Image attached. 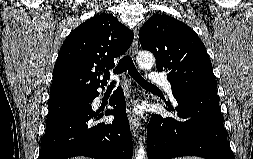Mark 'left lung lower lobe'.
<instances>
[{"instance_id": "1", "label": "left lung lower lobe", "mask_w": 253, "mask_h": 159, "mask_svg": "<svg viewBox=\"0 0 253 159\" xmlns=\"http://www.w3.org/2000/svg\"><path fill=\"white\" fill-rule=\"evenodd\" d=\"M173 95L181 119L152 116L147 128L148 159L180 156L235 159L227 141L217 94L180 92Z\"/></svg>"}]
</instances>
